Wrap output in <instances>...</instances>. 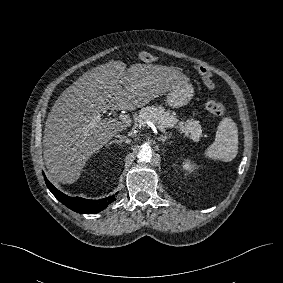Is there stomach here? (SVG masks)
I'll use <instances>...</instances> for the list:
<instances>
[{
	"instance_id": "stomach-1",
	"label": "stomach",
	"mask_w": 283,
	"mask_h": 283,
	"mask_svg": "<svg viewBox=\"0 0 283 283\" xmlns=\"http://www.w3.org/2000/svg\"><path fill=\"white\" fill-rule=\"evenodd\" d=\"M194 96V89L185 79L176 83L166 94V103L172 108L185 106Z\"/></svg>"
}]
</instances>
